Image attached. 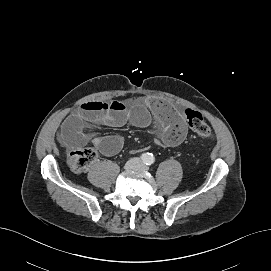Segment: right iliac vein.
<instances>
[{"instance_id":"obj_1","label":"right iliac vein","mask_w":271,"mask_h":271,"mask_svg":"<svg viewBox=\"0 0 271 271\" xmlns=\"http://www.w3.org/2000/svg\"><path fill=\"white\" fill-rule=\"evenodd\" d=\"M136 168V162L131 160V161H128L126 164H125V169L127 170H131V169H134Z\"/></svg>"}]
</instances>
